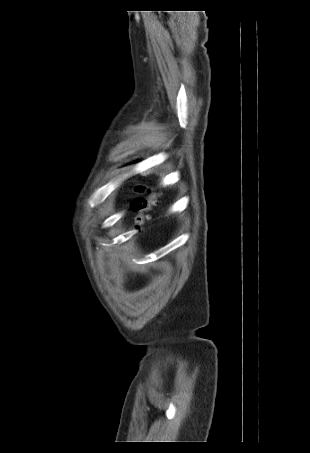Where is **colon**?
Listing matches in <instances>:
<instances>
[{
	"mask_svg": "<svg viewBox=\"0 0 310 453\" xmlns=\"http://www.w3.org/2000/svg\"><path fill=\"white\" fill-rule=\"evenodd\" d=\"M137 191L140 194L146 192V195L138 196L132 201V209L135 212V227L138 231H142L149 218L148 213L158 204L159 193L144 187H138Z\"/></svg>",
	"mask_w": 310,
	"mask_h": 453,
	"instance_id": "5ec220e1",
	"label": "colon"
}]
</instances>
